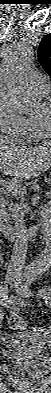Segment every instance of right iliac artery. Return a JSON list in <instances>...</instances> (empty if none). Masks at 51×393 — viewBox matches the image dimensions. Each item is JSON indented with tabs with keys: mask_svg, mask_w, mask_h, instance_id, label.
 <instances>
[{
	"mask_svg": "<svg viewBox=\"0 0 51 393\" xmlns=\"http://www.w3.org/2000/svg\"><path fill=\"white\" fill-rule=\"evenodd\" d=\"M0 300L3 306L7 305L8 302V286L7 284H3L0 287Z\"/></svg>",
	"mask_w": 51,
	"mask_h": 393,
	"instance_id": "1",
	"label": "right iliac artery"
}]
</instances>
